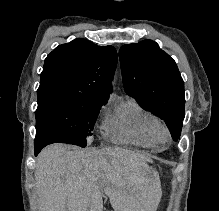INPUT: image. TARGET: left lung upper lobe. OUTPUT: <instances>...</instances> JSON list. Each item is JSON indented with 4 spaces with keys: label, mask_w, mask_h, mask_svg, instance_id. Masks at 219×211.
<instances>
[{
    "label": "left lung upper lobe",
    "mask_w": 219,
    "mask_h": 211,
    "mask_svg": "<svg viewBox=\"0 0 219 211\" xmlns=\"http://www.w3.org/2000/svg\"><path fill=\"white\" fill-rule=\"evenodd\" d=\"M123 85L138 104L163 119L173 140L184 119V82L175 61L152 40L125 44L119 50Z\"/></svg>",
    "instance_id": "obj_1"
}]
</instances>
